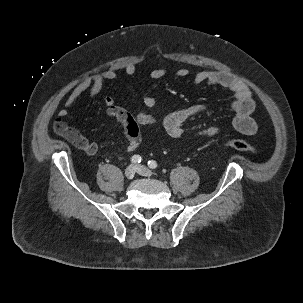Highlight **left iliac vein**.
<instances>
[{"instance_id": "left-iliac-vein-1", "label": "left iliac vein", "mask_w": 303, "mask_h": 303, "mask_svg": "<svg viewBox=\"0 0 303 303\" xmlns=\"http://www.w3.org/2000/svg\"><path fill=\"white\" fill-rule=\"evenodd\" d=\"M136 172L142 176L145 177H152L153 173L151 170H149L147 167H145L144 165H137L135 167Z\"/></svg>"}]
</instances>
